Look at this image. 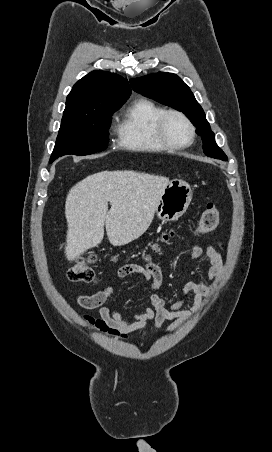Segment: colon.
<instances>
[{
    "mask_svg": "<svg viewBox=\"0 0 272 452\" xmlns=\"http://www.w3.org/2000/svg\"><path fill=\"white\" fill-rule=\"evenodd\" d=\"M220 211L215 203L209 202L203 209L198 221L196 232L199 234L210 233L218 226ZM172 233L166 234L164 239H168ZM96 262V256L90 254L78 258L67 272V277L72 282L94 283L96 273L93 265Z\"/></svg>",
    "mask_w": 272,
    "mask_h": 452,
    "instance_id": "5ec220e1",
    "label": "colon"
}]
</instances>
